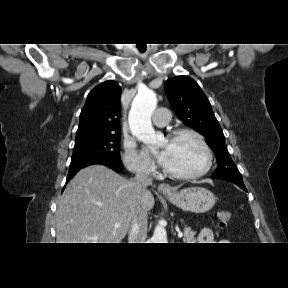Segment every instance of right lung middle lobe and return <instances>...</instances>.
Masks as SVG:
<instances>
[{
	"mask_svg": "<svg viewBox=\"0 0 288 288\" xmlns=\"http://www.w3.org/2000/svg\"><path fill=\"white\" fill-rule=\"evenodd\" d=\"M120 133L95 136L75 141L71 164L92 158H102L122 166Z\"/></svg>",
	"mask_w": 288,
	"mask_h": 288,
	"instance_id": "obj_1",
	"label": "right lung middle lobe"
}]
</instances>
